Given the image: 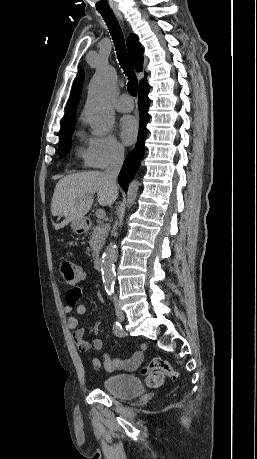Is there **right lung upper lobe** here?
<instances>
[{"instance_id": "right-lung-upper-lobe-1", "label": "right lung upper lobe", "mask_w": 257, "mask_h": 459, "mask_svg": "<svg viewBox=\"0 0 257 459\" xmlns=\"http://www.w3.org/2000/svg\"><path fill=\"white\" fill-rule=\"evenodd\" d=\"M127 48L130 60L136 71L140 72L143 68V47L135 34H130L127 39ZM84 80V72L80 70L73 83L72 91L67 104L66 115L60 129V132L72 128L76 124L75 112L81 95L82 83ZM146 78L140 81V84L146 82ZM139 84V85H140Z\"/></svg>"}]
</instances>
